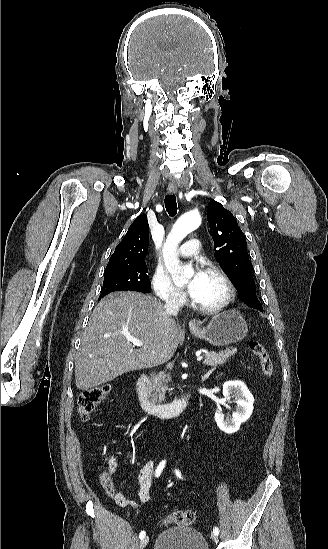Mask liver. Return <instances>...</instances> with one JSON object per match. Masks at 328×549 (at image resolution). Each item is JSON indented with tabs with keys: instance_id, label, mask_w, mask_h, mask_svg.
Here are the masks:
<instances>
[{
	"instance_id": "1",
	"label": "liver",
	"mask_w": 328,
	"mask_h": 549,
	"mask_svg": "<svg viewBox=\"0 0 328 549\" xmlns=\"http://www.w3.org/2000/svg\"><path fill=\"white\" fill-rule=\"evenodd\" d=\"M139 339L134 349L128 341ZM179 345L176 321L150 295L111 293L99 301L86 327L75 361V383L88 391L116 377L167 363Z\"/></svg>"
}]
</instances>
